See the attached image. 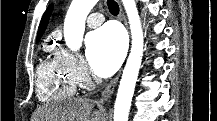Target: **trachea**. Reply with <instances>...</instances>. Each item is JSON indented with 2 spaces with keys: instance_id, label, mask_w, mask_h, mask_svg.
I'll return each instance as SVG.
<instances>
[{
  "instance_id": "3493384b",
  "label": "trachea",
  "mask_w": 217,
  "mask_h": 121,
  "mask_svg": "<svg viewBox=\"0 0 217 121\" xmlns=\"http://www.w3.org/2000/svg\"><path fill=\"white\" fill-rule=\"evenodd\" d=\"M108 9L111 14L117 15L119 13V6L114 0H107Z\"/></svg>"
}]
</instances>
